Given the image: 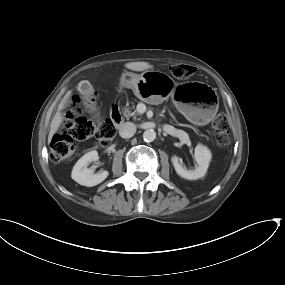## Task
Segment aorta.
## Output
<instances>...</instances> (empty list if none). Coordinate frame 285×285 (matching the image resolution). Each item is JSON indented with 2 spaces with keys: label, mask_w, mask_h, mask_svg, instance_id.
Listing matches in <instances>:
<instances>
[{
  "label": "aorta",
  "mask_w": 285,
  "mask_h": 285,
  "mask_svg": "<svg viewBox=\"0 0 285 285\" xmlns=\"http://www.w3.org/2000/svg\"><path fill=\"white\" fill-rule=\"evenodd\" d=\"M143 139L146 142H152L156 139V132L152 129L145 130L143 133Z\"/></svg>",
  "instance_id": "762f6f07"
}]
</instances>
